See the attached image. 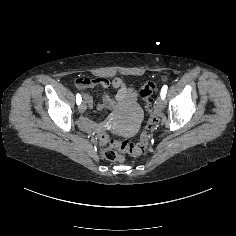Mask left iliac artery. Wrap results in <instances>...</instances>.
<instances>
[{
    "mask_svg": "<svg viewBox=\"0 0 236 236\" xmlns=\"http://www.w3.org/2000/svg\"><path fill=\"white\" fill-rule=\"evenodd\" d=\"M167 89H168L167 85H164V86L162 87V89H161V93H160L162 99L165 98L166 93H167Z\"/></svg>",
    "mask_w": 236,
    "mask_h": 236,
    "instance_id": "44dca946",
    "label": "left iliac artery"
}]
</instances>
